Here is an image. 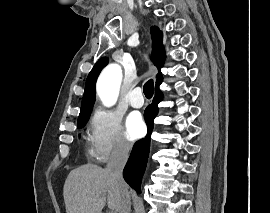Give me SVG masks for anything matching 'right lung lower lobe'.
<instances>
[{
	"mask_svg": "<svg viewBox=\"0 0 270 213\" xmlns=\"http://www.w3.org/2000/svg\"><path fill=\"white\" fill-rule=\"evenodd\" d=\"M159 83L155 87V97L152 105L145 110L144 116L148 127V134L145 138L137 141L132 149L128 162L124 168L125 181L137 192H141L140 185L148 160L150 149V136L153 130V120L158 113L157 104L162 100V93L159 89Z\"/></svg>",
	"mask_w": 270,
	"mask_h": 213,
	"instance_id": "98d812e1",
	"label": "right lung lower lobe"
}]
</instances>
